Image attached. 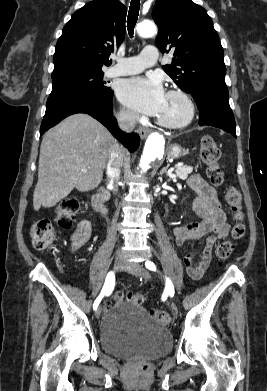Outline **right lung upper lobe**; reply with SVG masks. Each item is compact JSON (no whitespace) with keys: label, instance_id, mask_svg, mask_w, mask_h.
I'll list each match as a JSON object with an SVG mask.
<instances>
[{"label":"right lung upper lobe","instance_id":"1","mask_svg":"<svg viewBox=\"0 0 267 391\" xmlns=\"http://www.w3.org/2000/svg\"><path fill=\"white\" fill-rule=\"evenodd\" d=\"M125 19L119 0H95L76 11L56 44L52 76L109 66L110 53L124 39Z\"/></svg>","mask_w":267,"mask_h":391}]
</instances>
